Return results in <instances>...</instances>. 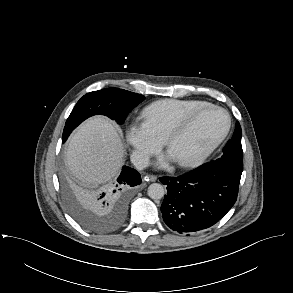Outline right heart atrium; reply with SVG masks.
I'll list each match as a JSON object with an SVG mask.
<instances>
[{
    "instance_id": "right-heart-atrium-1",
    "label": "right heart atrium",
    "mask_w": 293,
    "mask_h": 293,
    "mask_svg": "<svg viewBox=\"0 0 293 293\" xmlns=\"http://www.w3.org/2000/svg\"><path fill=\"white\" fill-rule=\"evenodd\" d=\"M126 140L132 147V158L137 165H144L164 143V139L142 118L129 121L126 127Z\"/></svg>"
}]
</instances>
